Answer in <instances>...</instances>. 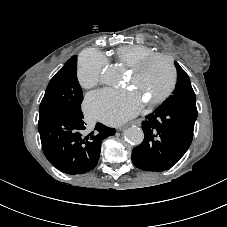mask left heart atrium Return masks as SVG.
I'll use <instances>...</instances> for the list:
<instances>
[{"instance_id": "1", "label": "left heart atrium", "mask_w": 227, "mask_h": 227, "mask_svg": "<svg viewBox=\"0 0 227 227\" xmlns=\"http://www.w3.org/2000/svg\"><path fill=\"white\" fill-rule=\"evenodd\" d=\"M144 101L136 92L125 89H103L90 93L85 111L91 117L111 125H118L135 116Z\"/></svg>"}]
</instances>
